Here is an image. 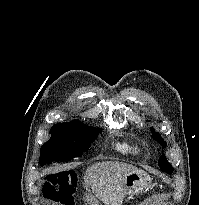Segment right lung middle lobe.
Listing matches in <instances>:
<instances>
[{
  "label": "right lung middle lobe",
  "mask_w": 199,
  "mask_h": 205,
  "mask_svg": "<svg viewBox=\"0 0 199 205\" xmlns=\"http://www.w3.org/2000/svg\"><path fill=\"white\" fill-rule=\"evenodd\" d=\"M100 132V128L86 126L80 121L52 126L51 138L41 147L39 164L43 166L86 154Z\"/></svg>",
  "instance_id": "dd1d6c3e"
}]
</instances>
